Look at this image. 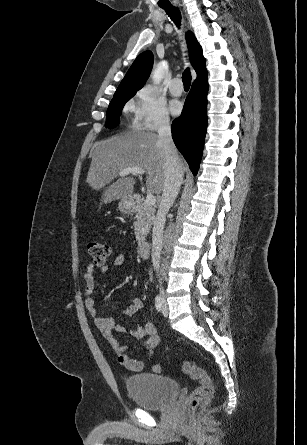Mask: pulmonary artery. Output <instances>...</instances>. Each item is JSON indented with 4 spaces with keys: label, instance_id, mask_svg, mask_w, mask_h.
I'll use <instances>...</instances> for the list:
<instances>
[{
    "label": "pulmonary artery",
    "instance_id": "e3ab8cb5",
    "mask_svg": "<svg viewBox=\"0 0 307 445\" xmlns=\"http://www.w3.org/2000/svg\"><path fill=\"white\" fill-rule=\"evenodd\" d=\"M173 80L174 81H171L170 84H169V87L171 89V93L174 96L182 95V93H183L182 89L184 87V84H183L182 81H179L180 80V76L178 74H175Z\"/></svg>",
    "mask_w": 307,
    "mask_h": 445
}]
</instances>
